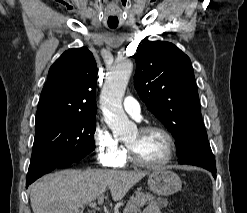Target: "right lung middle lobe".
I'll return each instance as SVG.
<instances>
[{
  "mask_svg": "<svg viewBox=\"0 0 247 213\" xmlns=\"http://www.w3.org/2000/svg\"><path fill=\"white\" fill-rule=\"evenodd\" d=\"M96 115L47 114L36 117L30 175L54 159L76 161L95 149Z\"/></svg>",
  "mask_w": 247,
  "mask_h": 213,
  "instance_id": "right-lung-middle-lobe-1",
  "label": "right lung middle lobe"
}]
</instances>
